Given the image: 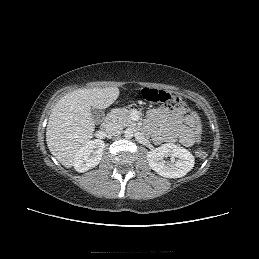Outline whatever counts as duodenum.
<instances>
[{"instance_id": "obj_1", "label": "duodenum", "mask_w": 259, "mask_h": 259, "mask_svg": "<svg viewBox=\"0 0 259 259\" xmlns=\"http://www.w3.org/2000/svg\"><path fill=\"white\" fill-rule=\"evenodd\" d=\"M112 115H108L101 124L103 130H107L112 125Z\"/></svg>"}]
</instances>
